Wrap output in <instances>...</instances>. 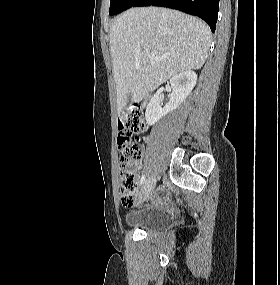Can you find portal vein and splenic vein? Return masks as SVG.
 <instances>
[{"instance_id":"1","label":"portal vein and splenic vein","mask_w":280,"mask_h":285,"mask_svg":"<svg viewBox=\"0 0 280 285\" xmlns=\"http://www.w3.org/2000/svg\"><path fill=\"white\" fill-rule=\"evenodd\" d=\"M144 53L148 54V53H149V50H148V49H144ZM164 57H165V56H164ZM164 57L156 58L155 56L151 55V56H150V59H151V61H158V60H162Z\"/></svg>"}]
</instances>
